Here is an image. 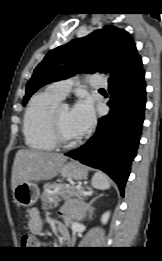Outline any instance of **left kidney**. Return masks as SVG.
<instances>
[{
	"instance_id": "left-kidney-1",
	"label": "left kidney",
	"mask_w": 162,
	"mask_h": 261,
	"mask_svg": "<svg viewBox=\"0 0 162 261\" xmlns=\"http://www.w3.org/2000/svg\"><path fill=\"white\" fill-rule=\"evenodd\" d=\"M109 217H110V212H109V211L105 212V213L102 215V217H101V222H102L103 224H106V223L108 222V220H109Z\"/></svg>"
}]
</instances>
